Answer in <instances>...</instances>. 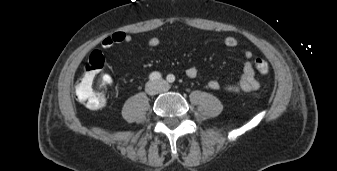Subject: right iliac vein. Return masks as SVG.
<instances>
[{
  "label": "right iliac vein",
  "instance_id": "63e3f726",
  "mask_svg": "<svg viewBox=\"0 0 337 171\" xmlns=\"http://www.w3.org/2000/svg\"><path fill=\"white\" fill-rule=\"evenodd\" d=\"M159 90V87L156 83L150 82L146 86V92L150 95H155Z\"/></svg>",
  "mask_w": 337,
  "mask_h": 171
}]
</instances>
